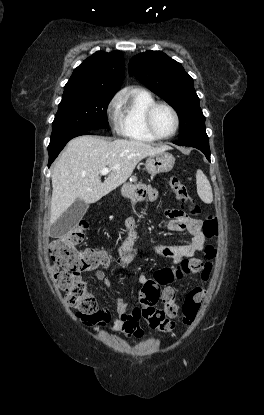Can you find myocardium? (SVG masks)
Listing matches in <instances>:
<instances>
[{
	"label": "myocardium",
	"instance_id": "1",
	"mask_svg": "<svg viewBox=\"0 0 264 415\" xmlns=\"http://www.w3.org/2000/svg\"><path fill=\"white\" fill-rule=\"evenodd\" d=\"M162 106L168 108L172 112L174 119H175V126H174L173 131L170 134L165 135V136L159 135L157 131L155 130L154 124H153L154 112L156 111L158 107H162ZM144 121H145V126H146L147 131L156 140H167V139L174 137L180 126V117H179L178 112L172 105H170L167 102H155L152 105H150L145 112Z\"/></svg>",
	"mask_w": 264,
	"mask_h": 415
}]
</instances>
